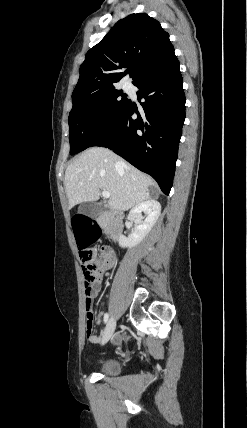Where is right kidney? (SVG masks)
Returning a JSON list of instances; mask_svg holds the SVG:
<instances>
[{"label":"right kidney","instance_id":"1","mask_svg":"<svg viewBox=\"0 0 247 428\" xmlns=\"http://www.w3.org/2000/svg\"><path fill=\"white\" fill-rule=\"evenodd\" d=\"M142 212L146 218L143 220ZM161 213V205L158 201L149 199L143 201L131 209L128 220H136L137 225L132 233L125 237L119 238V246L122 248H133L137 246L145 236L150 232Z\"/></svg>","mask_w":247,"mask_h":428}]
</instances>
